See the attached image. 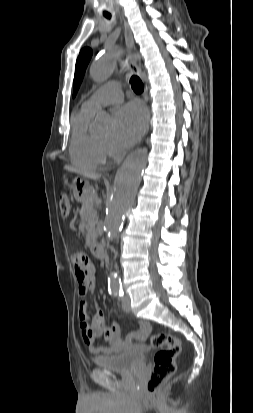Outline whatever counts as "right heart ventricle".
<instances>
[{
    "instance_id": "obj_1",
    "label": "right heart ventricle",
    "mask_w": 253,
    "mask_h": 413,
    "mask_svg": "<svg viewBox=\"0 0 253 413\" xmlns=\"http://www.w3.org/2000/svg\"><path fill=\"white\" fill-rule=\"evenodd\" d=\"M94 113L83 106L72 117L70 157L76 165L87 168L102 166L107 157L104 142L90 130Z\"/></svg>"
}]
</instances>
